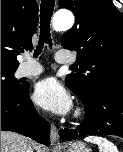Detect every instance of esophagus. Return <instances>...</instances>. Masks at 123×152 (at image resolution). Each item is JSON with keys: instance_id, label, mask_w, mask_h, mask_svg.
Listing matches in <instances>:
<instances>
[{"instance_id": "obj_1", "label": "esophagus", "mask_w": 123, "mask_h": 152, "mask_svg": "<svg viewBox=\"0 0 123 152\" xmlns=\"http://www.w3.org/2000/svg\"><path fill=\"white\" fill-rule=\"evenodd\" d=\"M50 140L53 146L59 145L58 130L54 123L51 124L50 128Z\"/></svg>"}]
</instances>
